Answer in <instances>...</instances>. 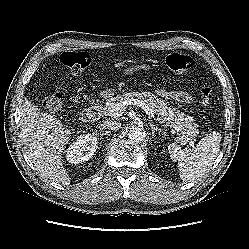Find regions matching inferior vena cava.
Here are the masks:
<instances>
[{
    "instance_id": "602c4592",
    "label": "inferior vena cava",
    "mask_w": 249,
    "mask_h": 249,
    "mask_svg": "<svg viewBox=\"0 0 249 249\" xmlns=\"http://www.w3.org/2000/svg\"><path fill=\"white\" fill-rule=\"evenodd\" d=\"M100 127L116 131L121 128V123L117 121L107 120V121L100 122Z\"/></svg>"
}]
</instances>
